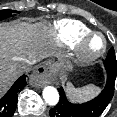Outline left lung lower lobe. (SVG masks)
<instances>
[{
  "mask_svg": "<svg viewBox=\"0 0 117 117\" xmlns=\"http://www.w3.org/2000/svg\"><path fill=\"white\" fill-rule=\"evenodd\" d=\"M105 69L107 71V83L96 98L83 104H73L66 98L63 88H59L60 100L49 111L50 117H99L113 97L116 79L117 68L105 66Z\"/></svg>",
  "mask_w": 117,
  "mask_h": 117,
  "instance_id": "obj_1",
  "label": "left lung lower lobe"
}]
</instances>
